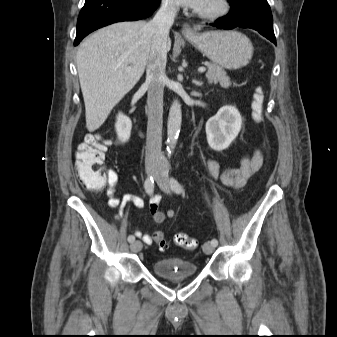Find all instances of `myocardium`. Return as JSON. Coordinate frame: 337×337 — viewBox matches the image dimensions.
Returning a JSON list of instances; mask_svg holds the SVG:
<instances>
[{
	"instance_id": "f54148a6",
	"label": "myocardium",
	"mask_w": 337,
	"mask_h": 337,
	"mask_svg": "<svg viewBox=\"0 0 337 337\" xmlns=\"http://www.w3.org/2000/svg\"><path fill=\"white\" fill-rule=\"evenodd\" d=\"M214 6L208 10H199L198 16L208 20H218L225 17L231 10L229 0H214Z\"/></svg>"
}]
</instances>
